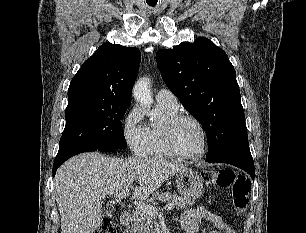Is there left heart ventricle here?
<instances>
[{
    "instance_id": "left-heart-ventricle-1",
    "label": "left heart ventricle",
    "mask_w": 306,
    "mask_h": 233,
    "mask_svg": "<svg viewBox=\"0 0 306 233\" xmlns=\"http://www.w3.org/2000/svg\"><path fill=\"white\" fill-rule=\"evenodd\" d=\"M174 142L184 154H196L202 149V134L199 127L190 120L182 121L175 130Z\"/></svg>"
}]
</instances>
